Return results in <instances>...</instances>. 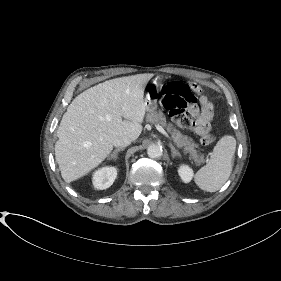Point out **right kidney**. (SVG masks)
<instances>
[{"mask_svg": "<svg viewBox=\"0 0 281 281\" xmlns=\"http://www.w3.org/2000/svg\"><path fill=\"white\" fill-rule=\"evenodd\" d=\"M117 169L115 167H103L93 173L94 188L103 190L109 188L115 181Z\"/></svg>", "mask_w": 281, "mask_h": 281, "instance_id": "obj_1", "label": "right kidney"}]
</instances>
